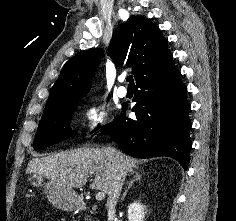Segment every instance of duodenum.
Segmentation results:
<instances>
[{
	"mask_svg": "<svg viewBox=\"0 0 236 221\" xmlns=\"http://www.w3.org/2000/svg\"><path fill=\"white\" fill-rule=\"evenodd\" d=\"M81 210H87V206L86 205H82L81 206Z\"/></svg>",
	"mask_w": 236,
	"mask_h": 221,
	"instance_id": "duodenum-1",
	"label": "duodenum"
}]
</instances>
